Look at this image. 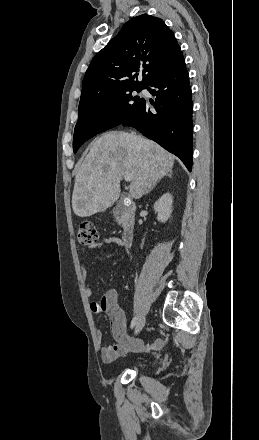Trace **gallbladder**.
<instances>
[{
  "label": "gallbladder",
  "instance_id": "obj_1",
  "mask_svg": "<svg viewBox=\"0 0 259 440\" xmlns=\"http://www.w3.org/2000/svg\"><path fill=\"white\" fill-rule=\"evenodd\" d=\"M125 206L122 201L117 203L115 209L112 211L114 217H117L124 210Z\"/></svg>",
  "mask_w": 259,
  "mask_h": 440
}]
</instances>
